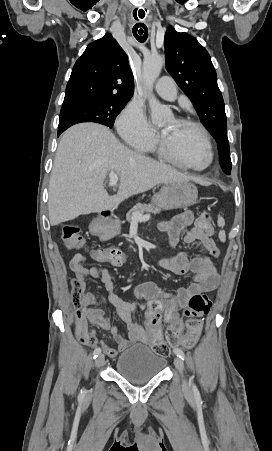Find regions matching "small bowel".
<instances>
[{"label":"small bowel","instance_id":"small-bowel-1","mask_svg":"<svg viewBox=\"0 0 272 451\" xmlns=\"http://www.w3.org/2000/svg\"><path fill=\"white\" fill-rule=\"evenodd\" d=\"M192 224L193 215L189 211L159 224V229L167 235V244L170 249L175 247L182 238L186 244L202 252L194 257H189L185 252H178L158 260L161 268L175 275L193 274V282L186 287L179 288L176 294H166L154 283L145 282L136 290L138 302L130 303L114 293V283L107 269L93 266L91 270H86L85 274H74L71 289L75 309V329L78 335L87 329L89 323L106 330L112 336L117 347L112 348L104 344L103 350L107 356L114 359L119 352L124 351L132 344H146V339L150 334L162 340L160 325L155 333H149L136 320L138 312H145L146 316L154 314L161 316L163 313L164 320L174 326L172 332L178 334L180 328L176 325L179 310L188 306L192 295L213 291L219 284V272L212 262V257H219V249L212 238H198L197 232L200 228ZM92 259L105 261L101 253L93 254ZM88 279L101 280L107 295L101 294L100 300H97L87 288ZM107 304L115 309L118 318L125 324L127 329L125 334H121L106 316L104 307ZM184 337L185 335H179V341L182 342Z\"/></svg>","mask_w":272,"mask_h":451}]
</instances>
